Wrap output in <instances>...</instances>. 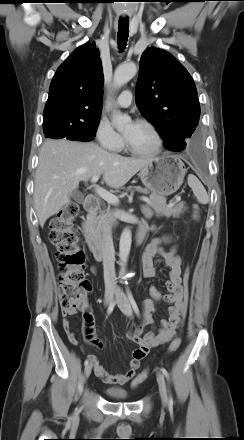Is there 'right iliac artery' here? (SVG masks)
<instances>
[{
  "instance_id": "obj_1",
  "label": "right iliac artery",
  "mask_w": 244,
  "mask_h": 440,
  "mask_svg": "<svg viewBox=\"0 0 244 440\" xmlns=\"http://www.w3.org/2000/svg\"><path fill=\"white\" fill-rule=\"evenodd\" d=\"M114 306H115V303H114V302H112V303L109 305V307H108V309H107V314H108V315L111 314V312H112L113 309H114ZM88 363H89V362H88V360L86 359L85 362H84V365L87 366Z\"/></svg>"
}]
</instances>
